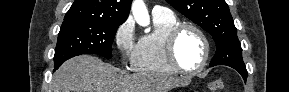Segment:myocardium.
<instances>
[{"label":"myocardium","instance_id":"1","mask_svg":"<svg viewBox=\"0 0 289 92\" xmlns=\"http://www.w3.org/2000/svg\"><path fill=\"white\" fill-rule=\"evenodd\" d=\"M185 30H192L196 32L204 44V56H203L202 62L197 68L192 69V70L183 68L179 64L177 57H176V44L180 35ZM164 53H165V57H166L168 64L175 72L186 74V75H194V74L200 73L206 67L208 63V60L210 57V42L205 32L198 26L191 24V23H179L168 31L164 40Z\"/></svg>","mask_w":289,"mask_h":92}]
</instances>
